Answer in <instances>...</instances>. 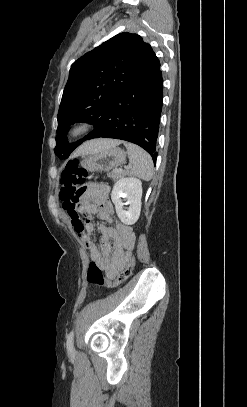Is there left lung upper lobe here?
<instances>
[{"label": "left lung upper lobe", "instance_id": "1", "mask_svg": "<svg viewBox=\"0 0 247 407\" xmlns=\"http://www.w3.org/2000/svg\"><path fill=\"white\" fill-rule=\"evenodd\" d=\"M154 55L141 36L120 33L74 62L57 116L54 152L59 158H68L88 137L69 144L66 141L68 127L75 122H87L96 129L118 93Z\"/></svg>", "mask_w": 247, "mask_h": 407}]
</instances>
